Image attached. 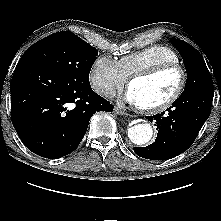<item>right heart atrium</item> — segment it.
<instances>
[{
	"label": "right heart atrium",
	"mask_w": 221,
	"mask_h": 221,
	"mask_svg": "<svg viewBox=\"0 0 221 221\" xmlns=\"http://www.w3.org/2000/svg\"><path fill=\"white\" fill-rule=\"evenodd\" d=\"M127 77L121 71L118 61L108 55H100L93 61L89 71V82L93 90L109 95L121 89Z\"/></svg>",
	"instance_id": "obj_1"
}]
</instances>
